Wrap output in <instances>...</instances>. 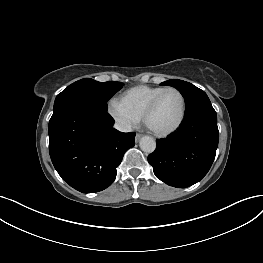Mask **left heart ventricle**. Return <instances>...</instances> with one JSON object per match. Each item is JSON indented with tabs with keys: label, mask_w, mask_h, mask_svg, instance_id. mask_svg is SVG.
<instances>
[{
	"label": "left heart ventricle",
	"mask_w": 263,
	"mask_h": 263,
	"mask_svg": "<svg viewBox=\"0 0 263 263\" xmlns=\"http://www.w3.org/2000/svg\"><path fill=\"white\" fill-rule=\"evenodd\" d=\"M182 102L175 91L165 93L148 119L149 126L155 130L172 127L179 119Z\"/></svg>",
	"instance_id": "left-heart-ventricle-1"
}]
</instances>
